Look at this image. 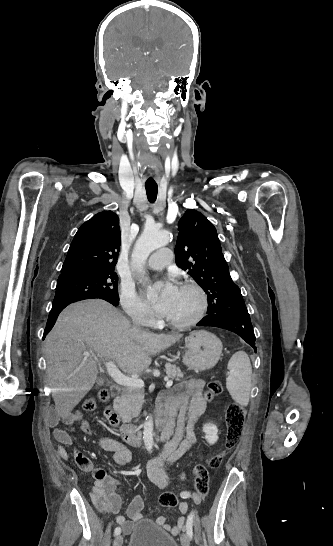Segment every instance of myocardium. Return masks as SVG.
<instances>
[{
  "mask_svg": "<svg viewBox=\"0 0 333 546\" xmlns=\"http://www.w3.org/2000/svg\"><path fill=\"white\" fill-rule=\"evenodd\" d=\"M181 288H186L194 291L198 297V307L194 315L185 321H174L169 318L166 322L169 326L175 329H187L196 325L206 314L208 309V297L205 290L193 280H185L180 284Z\"/></svg>",
  "mask_w": 333,
  "mask_h": 546,
  "instance_id": "myocardium-1",
  "label": "myocardium"
}]
</instances>
